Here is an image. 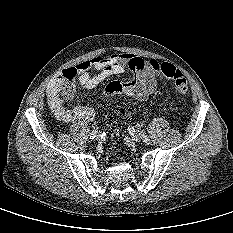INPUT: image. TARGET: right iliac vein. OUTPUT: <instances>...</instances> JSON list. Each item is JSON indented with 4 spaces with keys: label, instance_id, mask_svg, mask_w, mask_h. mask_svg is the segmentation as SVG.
<instances>
[{
    "label": "right iliac vein",
    "instance_id": "right-iliac-vein-1",
    "mask_svg": "<svg viewBox=\"0 0 233 233\" xmlns=\"http://www.w3.org/2000/svg\"><path fill=\"white\" fill-rule=\"evenodd\" d=\"M96 140H97V141H100V140H101V135H100V134H97V135H96Z\"/></svg>",
    "mask_w": 233,
    "mask_h": 233
}]
</instances>
